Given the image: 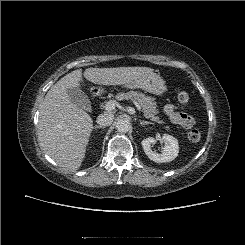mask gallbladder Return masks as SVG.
<instances>
[{
	"label": "gallbladder",
	"mask_w": 245,
	"mask_h": 245,
	"mask_svg": "<svg viewBox=\"0 0 245 245\" xmlns=\"http://www.w3.org/2000/svg\"><path fill=\"white\" fill-rule=\"evenodd\" d=\"M67 94L70 100L79 107L87 111L91 109V104L88 96L80 88L67 89Z\"/></svg>",
	"instance_id": "bac80fb5"
}]
</instances>
